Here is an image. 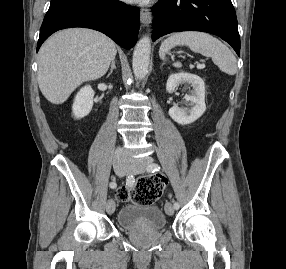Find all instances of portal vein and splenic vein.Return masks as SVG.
<instances>
[{
    "label": "portal vein and splenic vein",
    "mask_w": 286,
    "mask_h": 269,
    "mask_svg": "<svg viewBox=\"0 0 286 269\" xmlns=\"http://www.w3.org/2000/svg\"><path fill=\"white\" fill-rule=\"evenodd\" d=\"M197 68H199V69H203V68H205V64H204V63H202V64H198V65H197Z\"/></svg>",
    "instance_id": "obj_1"
}]
</instances>
